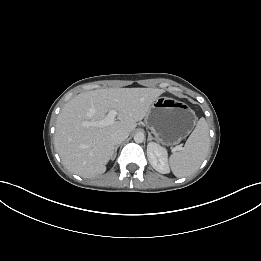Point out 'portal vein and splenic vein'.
<instances>
[{"mask_svg": "<svg viewBox=\"0 0 261 261\" xmlns=\"http://www.w3.org/2000/svg\"><path fill=\"white\" fill-rule=\"evenodd\" d=\"M117 115V111L116 110H110L109 113L106 115V117L104 119H102L101 121H98V122H86L85 125L86 126H89V125H96L98 127H103V126H107V125H110V124H113L114 121H115V117ZM182 147L179 145V146H176L174 148V150H181Z\"/></svg>", "mask_w": 261, "mask_h": 261, "instance_id": "portal-vein-and-splenic-vein-1", "label": "portal vein and splenic vein"}]
</instances>
